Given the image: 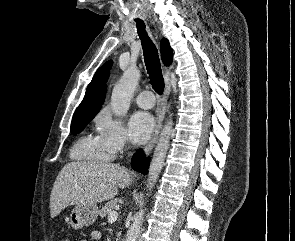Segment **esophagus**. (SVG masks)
I'll list each match as a JSON object with an SVG mask.
<instances>
[{
    "instance_id": "esophagus-1",
    "label": "esophagus",
    "mask_w": 295,
    "mask_h": 241,
    "mask_svg": "<svg viewBox=\"0 0 295 241\" xmlns=\"http://www.w3.org/2000/svg\"><path fill=\"white\" fill-rule=\"evenodd\" d=\"M164 79H165V91H164L162 101L158 107L157 117H156V128H155L154 134H153L151 140L148 142V144L144 148V152L146 155H148L152 151V149L154 148V146L158 140L159 133H160L162 126H163L166 102H167L168 96L171 91L170 78L166 73L164 75Z\"/></svg>"
}]
</instances>
